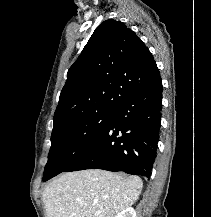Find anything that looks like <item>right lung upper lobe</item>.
<instances>
[{"label":"right lung upper lobe","instance_id":"1","mask_svg":"<svg viewBox=\"0 0 211 217\" xmlns=\"http://www.w3.org/2000/svg\"><path fill=\"white\" fill-rule=\"evenodd\" d=\"M160 77L152 54L123 22L106 20L67 73L54 127L77 116L116 110L133 92Z\"/></svg>","mask_w":211,"mask_h":217}]
</instances>
